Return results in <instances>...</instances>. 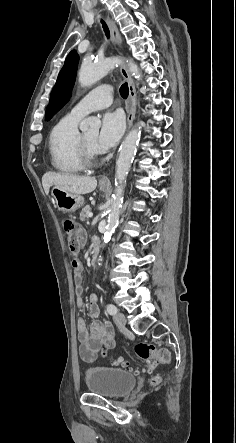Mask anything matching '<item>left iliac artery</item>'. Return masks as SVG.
Segmentation results:
<instances>
[{
	"mask_svg": "<svg viewBox=\"0 0 236 443\" xmlns=\"http://www.w3.org/2000/svg\"><path fill=\"white\" fill-rule=\"evenodd\" d=\"M106 308H107V312L110 315H115L117 313V311H118L117 307L115 305H113V304H108Z\"/></svg>",
	"mask_w": 236,
	"mask_h": 443,
	"instance_id": "1",
	"label": "left iliac artery"
}]
</instances>
